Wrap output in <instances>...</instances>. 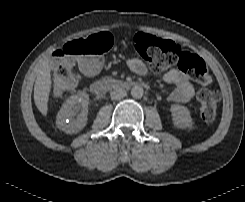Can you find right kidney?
<instances>
[{
  "instance_id": "ca27d5eb",
  "label": "right kidney",
  "mask_w": 245,
  "mask_h": 202,
  "mask_svg": "<svg viewBox=\"0 0 245 202\" xmlns=\"http://www.w3.org/2000/svg\"><path fill=\"white\" fill-rule=\"evenodd\" d=\"M88 104L89 95L85 92L69 97L57 114V127L67 134L80 132L87 124Z\"/></svg>"
}]
</instances>
